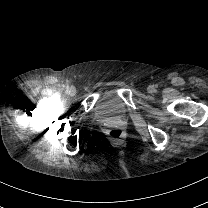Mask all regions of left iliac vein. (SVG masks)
Masks as SVG:
<instances>
[{"label": "left iliac vein", "instance_id": "1", "mask_svg": "<svg viewBox=\"0 0 208 208\" xmlns=\"http://www.w3.org/2000/svg\"><path fill=\"white\" fill-rule=\"evenodd\" d=\"M154 90H155V89H154L153 86H149V87H148V91H149L150 93L154 92Z\"/></svg>", "mask_w": 208, "mask_h": 208}]
</instances>
